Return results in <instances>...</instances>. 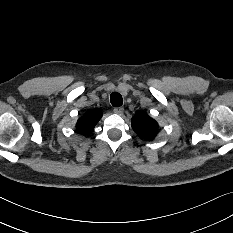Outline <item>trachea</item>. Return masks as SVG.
I'll list each match as a JSON object with an SVG mask.
<instances>
[{"label":"trachea","mask_w":233,"mask_h":233,"mask_svg":"<svg viewBox=\"0 0 233 233\" xmlns=\"http://www.w3.org/2000/svg\"><path fill=\"white\" fill-rule=\"evenodd\" d=\"M110 101H111V104L114 106V107H118V106H121L122 103H123V100H122V96L117 93V92H113L110 96Z\"/></svg>","instance_id":"3493384b"}]
</instances>
